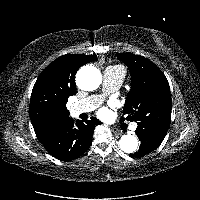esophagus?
<instances>
[{"label": "esophagus", "mask_w": 200, "mask_h": 200, "mask_svg": "<svg viewBox=\"0 0 200 200\" xmlns=\"http://www.w3.org/2000/svg\"><path fill=\"white\" fill-rule=\"evenodd\" d=\"M110 128H111V131H112L113 133H118V134L121 133L120 130L117 129V128H115V127H110Z\"/></svg>", "instance_id": "obj_1"}]
</instances>
